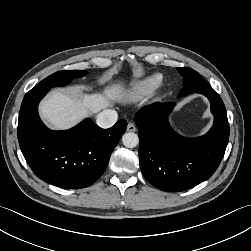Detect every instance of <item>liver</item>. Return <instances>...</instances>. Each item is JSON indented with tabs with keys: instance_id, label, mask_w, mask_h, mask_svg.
Returning a JSON list of instances; mask_svg holds the SVG:
<instances>
[{
	"instance_id": "liver-1",
	"label": "liver",
	"mask_w": 251,
	"mask_h": 251,
	"mask_svg": "<svg viewBox=\"0 0 251 251\" xmlns=\"http://www.w3.org/2000/svg\"><path fill=\"white\" fill-rule=\"evenodd\" d=\"M124 96L122 84H113L103 94H85L80 88L69 92L52 91L39 106V111L54 129L64 130L74 126L89 114L110 107Z\"/></svg>"
}]
</instances>
